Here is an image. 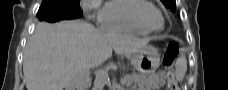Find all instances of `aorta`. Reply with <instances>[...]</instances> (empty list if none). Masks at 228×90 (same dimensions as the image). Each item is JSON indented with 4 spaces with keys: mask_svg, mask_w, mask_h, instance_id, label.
Wrapping results in <instances>:
<instances>
[{
    "mask_svg": "<svg viewBox=\"0 0 228 90\" xmlns=\"http://www.w3.org/2000/svg\"><path fill=\"white\" fill-rule=\"evenodd\" d=\"M108 81H109L108 71L100 70L97 73L95 81H94L95 90H102Z\"/></svg>",
    "mask_w": 228,
    "mask_h": 90,
    "instance_id": "obj_1",
    "label": "aorta"
}]
</instances>
